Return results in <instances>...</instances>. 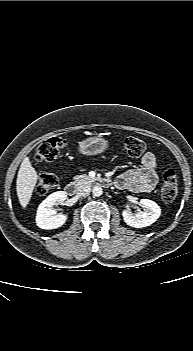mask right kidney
<instances>
[{"mask_svg":"<svg viewBox=\"0 0 193 351\" xmlns=\"http://www.w3.org/2000/svg\"><path fill=\"white\" fill-rule=\"evenodd\" d=\"M67 199L65 191H57L50 194L38 207L36 224L41 229H56L61 227L67 220V214H56L52 208L56 203L62 204Z\"/></svg>","mask_w":193,"mask_h":351,"instance_id":"1","label":"right kidney"}]
</instances>
